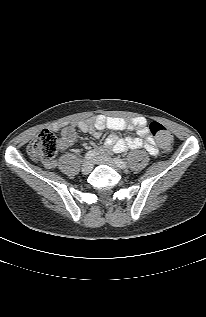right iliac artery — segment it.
<instances>
[{
    "label": "right iliac artery",
    "instance_id": "1",
    "mask_svg": "<svg viewBox=\"0 0 206 317\" xmlns=\"http://www.w3.org/2000/svg\"><path fill=\"white\" fill-rule=\"evenodd\" d=\"M99 153L95 150H90L86 153L85 155V159L86 160H92L93 158H95Z\"/></svg>",
    "mask_w": 206,
    "mask_h": 317
}]
</instances>
